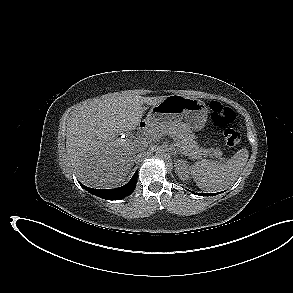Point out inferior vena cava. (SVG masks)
<instances>
[{
    "instance_id": "1",
    "label": "inferior vena cava",
    "mask_w": 293,
    "mask_h": 293,
    "mask_svg": "<svg viewBox=\"0 0 293 293\" xmlns=\"http://www.w3.org/2000/svg\"><path fill=\"white\" fill-rule=\"evenodd\" d=\"M148 147V144L146 142L139 141L134 146L135 153L143 152Z\"/></svg>"
}]
</instances>
